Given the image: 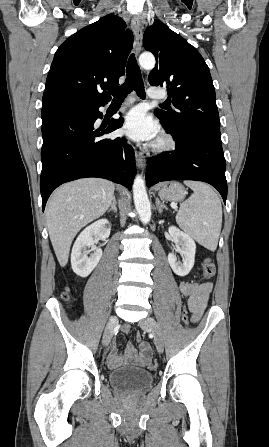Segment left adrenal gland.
Wrapping results in <instances>:
<instances>
[{
  "instance_id": "a2214340",
  "label": "left adrenal gland",
  "mask_w": 269,
  "mask_h": 447,
  "mask_svg": "<svg viewBox=\"0 0 269 447\" xmlns=\"http://www.w3.org/2000/svg\"><path fill=\"white\" fill-rule=\"evenodd\" d=\"M155 200H156V202H155L156 208H157L159 214H161L162 210H167V208H166V206H164V204H160L159 198H155Z\"/></svg>"
}]
</instances>
